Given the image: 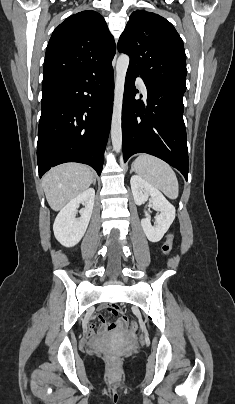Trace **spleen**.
<instances>
[{"mask_svg":"<svg viewBox=\"0 0 235 404\" xmlns=\"http://www.w3.org/2000/svg\"><path fill=\"white\" fill-rule=\"evenodd\" d=\"M132 166L139 176L160 189L168 198L178 197L179 185L176 174L166 162L149 154H140Z\"/></svg>","mask_w":235,"mask_h":404,"instance_id":"obj_1","label":"spleen"}]
</instances>
